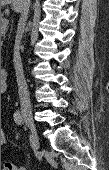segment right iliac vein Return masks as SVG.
<instances>
[{
  "instance_id": "right-iliac-vein-1",
  "label": "right iliac vein",
  "mask_w": 109,
  "mask_h": 170,
  "mask_svg": "<svg viewBox=\"0 0 109 170\" xmlns=\"http://www.w3.org/2000/svg\"><path fill=\"white\" fill-rule=\"evenodd\" d=\"M23 117H24V120L29 127L30 137H31V140L34 143L35 151H37L39 149L40 143H39V138H38V135H37L36 126H35L31 111L28 110V109H24L23 110Z\"/></svg>"
}]
</instances>
